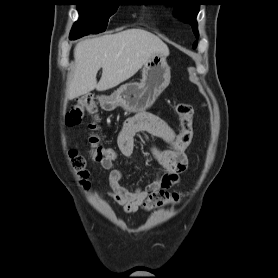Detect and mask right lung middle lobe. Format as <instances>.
Returning a JSON list of instances; mask_svg holds the SVG:
<instances>
[{
	"mask_svg": "<svg viewBox=\"0 0 278 278\" xmlns=\"http://www.w3.org/2000/svg\"><path fill=\"white\" fill-rule=\"evenodd\" d=\"M80 18L74 23L70 39H78L89 33L103 32L108 24V19L113 15L121 0H74Z\"/></svg>",
	"mask_w": 278,
	"mask_h": 278,
	"instance_id": "1",
	"label": "right lung middle lobe"
}]
</instances>
